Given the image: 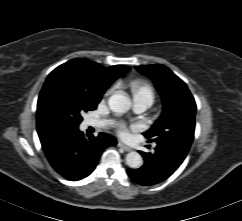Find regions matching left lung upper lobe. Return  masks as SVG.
<instances>
[{
    "instance_id": "left-lung-upper-lobe-1",
    "label": "left lung upper lobe",
    "mask_w": 242,
    "mask_h": 221,
    "mask_svg": "<svg viewBox=\"0 0 242 221\" xmlns=\"http://www.w3.org/2000/svg\"><path fill=\"white\" fill-rule=\"evenodd\" d=\"M150 77L162 99L163 113L144 133L149 142L170 143L189 150L194 139L196 104L187 85L161 64L135 67Z\"/></svg>"
}]
</instances>
